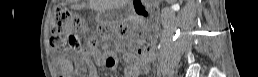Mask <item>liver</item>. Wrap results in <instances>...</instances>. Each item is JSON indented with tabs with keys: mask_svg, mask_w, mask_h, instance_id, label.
Returning <instances> with one entry per match:
<instances>
[{
	"mask_svg": "<svg viewBox=\"0 0 258 77\" xmlns=\"http://www.w3.org/2000/svg\"><path fill=\"white\" fill-rule=\"evenodd\" d=\"M129 0H88L89 7L93 10L102 12L106 9L117 7L122 3H127Z\"/></svg>",
	"mask_w": 258,
	"mask_h": 77,
	"instance_id": "obj_1",
	"label": "liver"
}]
</instances>
